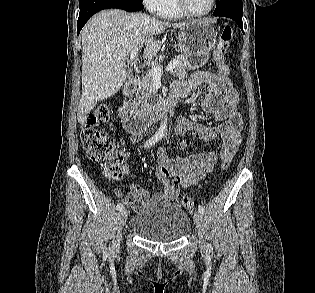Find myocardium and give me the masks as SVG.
<instances>
[{
  "label": "myocardium",
  "mask_w": 315,
  "mask_h": 293,
  "mask_svg": "<svg viewBox=\"0 0 315 293\" xmlns=\"http://www.w3.org/2000/svg\"><path fill=\"white\" fill-rule=\"evenodd\" d=\"M176 3H177L178 8L180 9V11L183 14H185L186 16L204 17L213 11L215 4H216V0H211L209 8L206 11L201 12V13H196V12L191 11L187 5V0H176Z\"/></svg>",
  "instance_id": "obj_1"
}]
</instances>
